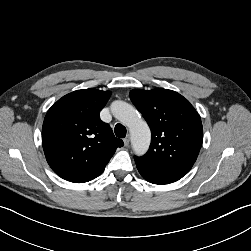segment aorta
Masks as SVG:
<instances>
[{
	"label": "aorta",
	"mask_w": 251,
	"mask_h": 251,
	"mask_svg": "<svg viewBox=\"0 0 251 251\" xmlns=\"http://www.w3.org/2000/svg\"><path fill=\"white\" fill-rule=\"evenodd\" d=\"M111 112L116 119L129 127L134 152L138 155L146 153L150 144L151 132L138 111L126 102L114 101L111 104Z\"/></svg>",
	"instance_id": "1"
}]
</instances>
